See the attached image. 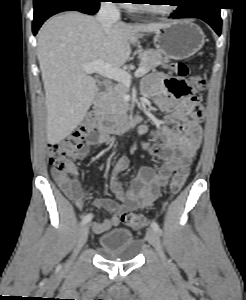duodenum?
Wrapping results in <instances>:
<instances>
[{
    "instance_id": "1",
    "label": "duodenum",
    "mask_w": 246,
    "mask_h": 300,
    "mask_svg": "<svg viewBox=\"0 0 246 300\" xmlns=\"http://www.w3.org/2000/svg\"><path fill=\"white\" fill-rule=\"evenodd\" d=\"M107 84L101 83L99 86V92L94 102V108L100 109V98L106 89ZM97 124L99 131L102 134H121L126 131L134 129L138 124V118L131 114L128 109L120 113L119 115L112 116L107 114H101L98 116Z\"/></svg>"
}]
</instances>
